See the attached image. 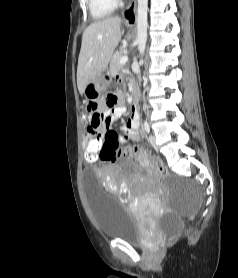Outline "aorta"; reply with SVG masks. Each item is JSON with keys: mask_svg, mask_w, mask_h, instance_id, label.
I'll return each instance as SVG.
<instances>
[{"mask_svg": "<svg viewBox=\"0 0 238 278\" xmlns=\"http://www.w3.org/2000/svg\"><path fill=\"white\" fill-rule=\"evenodd\" d=\"M147 10H148V0H138V10H137V41L138 49L141 56H143L146 41H147ZM143 62V59H141Z\"/></svg>", "mask_w": 238, "mask_h": 278, "instance_id": "aorta-1", "label": "aorta"}]
</instances>
